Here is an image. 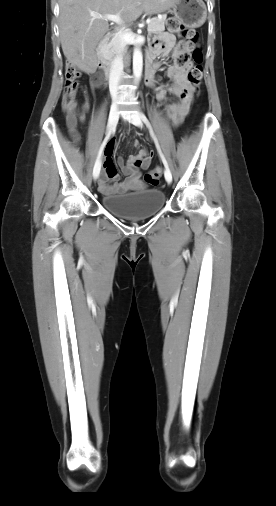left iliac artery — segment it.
I'll return each mask as SVG.
<instances>
[{
	"label": "left iliac artery",
	"instance_id": "44dca946",
	"mask_svg": "<svg viewBox=\"0 0 276 506\" xmlns=\"http://www.w3.org/2000/svg\"><path fill=\"white\" fill-rule=\"evenodd\" d=\"M140 116H141V119L143 120V122L146 124V126L148 127V129H149V131H150V134H151V136H152V138H153V140H154V142H155V145H156L157 151H158V153H159V155H160V157H161V159H162V162H163V164H164L165 168H166V169H169V166H168L167 160H166V158L164 157V155H163V153H162V151H161V148H160L159 142H158V140H157V137H156V136H155V134H154V131H153V129H152V126H151V124H150L149 120L147 119V117H146V116H145L142 112L140 113ZM165 179H166V178H165Z\"/></svg>",
	"mask_w": 276,
	"mask_h": 506
}]
</instances>
